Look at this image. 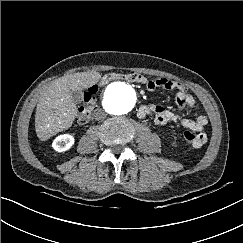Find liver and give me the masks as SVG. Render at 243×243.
<instances>
[{"instance_id": "6515ba94", "label": "liver", "mask_w": 243, "mask_h": 243, "mask_svg": "<svg viewBox=\"0 0 243 243\" xmlns=\"http://www.w3.org/2000/svg\"><path fill=\"white\" fill-rule=\"evenodd\" d=\"M101 77L98 72H78L53 81L41 94L35 113V131L41 141L70 128L76 116L71 91H81Z\"/></svg>"}]
</instances>
